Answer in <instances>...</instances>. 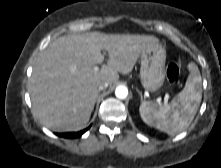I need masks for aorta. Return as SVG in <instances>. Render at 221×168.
<instances>
[{
  "label": "aorta",
  "mask_w": 221,
  "mask_h": 168,
  "mask_svg": "<svg viewBox=\"0 0 221 168\" xmlns=\"http://www.w3.org/2000/svg\"><path fill=\"white\" fill-rule=\"evenodd\" d=\"M115 95L119 99H125L128 95V89L125 86H118L115 90Z\"/></svg>",
  "instance_id": "1"
}]
</instances>
